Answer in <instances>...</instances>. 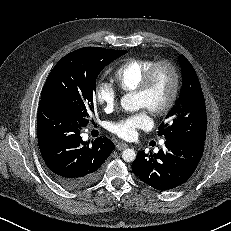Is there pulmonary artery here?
<instances>
[{"label":"pulmonary artery","instance_id":"obj_1","mask_svg":"<svg viewBox=\"0 0 231 231\" xmlns=\"http://www.w3.org/2000/svg\"><path fill=\"white\" fill-rule=\"evenodd\" d=\"M164 143V141H161V144H163Z\"/></svg>","mask_w":231,"mask_h":231}]
</instances>
